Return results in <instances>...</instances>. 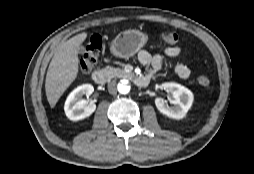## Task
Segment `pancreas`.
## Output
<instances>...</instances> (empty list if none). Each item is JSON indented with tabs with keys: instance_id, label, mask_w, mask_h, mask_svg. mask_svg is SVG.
<instances>
[{
	"instance_id": "obj_1",
	"label": "pancreas",
	"mask_w": 254,
	"mask_h": 174,
	"mask_svg": "<svg viewBox=\"0 0 254 174\" xmlns=\"http://www.w3.org/2000/svg\"><path fill=\"white\" fill-rule=\"evenodd\" d=\"M102 71L110 79L114 78V77H120L121 78V77H127L128 76V74L123 69L115 68V67H111V66L105 67Z\"/></svg>"
}]
</instances>
